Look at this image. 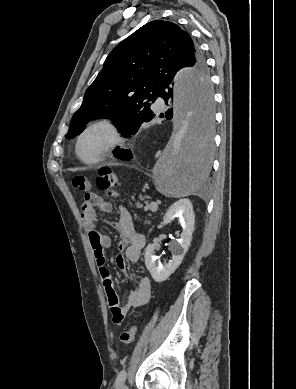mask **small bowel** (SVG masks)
Listing matches in <instances>:
<instances>
[{"mask_svg":"<svg viewBox=\"0 0 296 389\" xmlns=\"http://www.w3.org/2000/svg\"><path fill=\"white\" fill-rule=\"evenodd\" d=\"M111 209V204L97 194H85L81 205V220L89 238L112 318L115 312L118 311L122 314L123 321L130 308L141 307L148 303L152 291L150 279L142 273L139 276L137 288L130 291L125 305L122 306L120 304L111 273L106 267L105 260V249L110 247L111 239L109 236L100 233L95 225L97 214L99 212L108 213ZM114 227L120 235L118 248L123 252L117 255L115 262L117 267L124 271L127 261L137 262L140 259L141 251L146 244V239L144 235L135 229L131 214L123 206L119 208V218L114 223ZM122 321L115 324H121Z\"/></svg>","mask_w":296,"mask_h":389,"instance_id":"obj_1","label":"small bowel"}]
</instances>
